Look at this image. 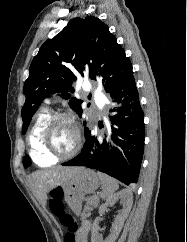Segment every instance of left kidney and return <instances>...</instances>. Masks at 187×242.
Returning <instances> with one entry per match:
<instances>
[{
  "label": "left kidney",
  "mask_w": 187,
  "mask_h": 242,
  "mask_svg": "<svg viewBox=\"0 0 187 242\" xmlns=\"http://www.w3.org/2000/svg\"><path fill=\"white\" fill-rule=\"evenodd\" d=\"M118 200L121 201L123 205V209L117 215L114 223L112 224L111 234L107 237V239L103 240L101 235L99 234V221L100 218H96L93 227H92V235H91V242H115L117 239L125 219L127 218L133 203V194L130 190L124 189L119 191L106 199V202L100 206L99 214L102 215L106 208Z\"/></svg>",
  "instance_id": "left-kidney-1"
}]
</instances>
